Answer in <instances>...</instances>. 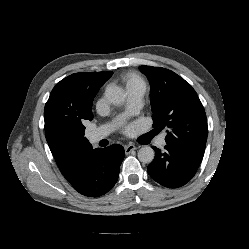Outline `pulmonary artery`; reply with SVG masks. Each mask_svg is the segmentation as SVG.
I'll return each mask as SVG.
<instances>
[{
	"label": "pulmonary artery",
	"instance_id": "1",
	"mask_svg": "<svg viewBox=\"0 0 249 249\" xmlns=\"http://www.w3.org/2000/svg\"><path fill=\"white\" fill-rule=\"evenodd\" d=\"M144 92L145 90L139 89V88L128 90V95H129L128 111L130 113H136L139 110L142 104V98H143ZM111 131H112V127L101 126L89 133L88 135L89 141L91 143H97L100 140L107 137ZM156 144L161 148H163L166 145L164 133L157 137Z\"/></svg>",
	"mask_w": 249,
	"mask_h": 249
}]
</instances>
